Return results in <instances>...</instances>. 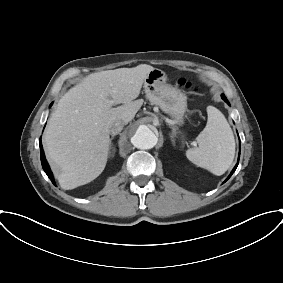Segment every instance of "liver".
Wrapping results in <instances>:
<instances>
[{
    "label": "liver",
    "instance_id": "6515ba94",
    "mask_svg": "<svg viewBox=\"0 0 283 283\" xmlns=\"http://www.w3.org/2000/svg\"><path fill=\"white\" fill-rule=\"evenodd\" d=\"M153 69L140 64L93 73L62 96L44 134L46 154L62 189L85 185L103 172L110 127L133 120L143 104L135 99Z\"/></svg>",
    "mask_w": 283,
    "mask_h": 283
}]
</instances>
